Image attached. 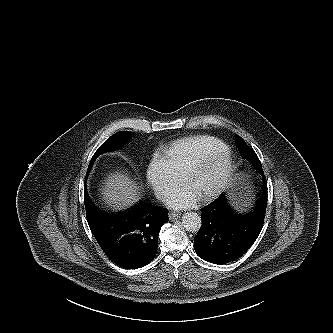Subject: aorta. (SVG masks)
<instances>
[{
    "instance_id": "762f6f07",
    "label": "aorta",
    "mask_w": 333,
    "mask_h": 333,
    "mask_svg": "<svg viewBox=\"0 0 333 333\" xmlns=\"http://www.w3.org/2000/svg\"><path fill=\"white\" fill-rule=\"evenodd\" d=\"M184 229L191 233H196L201 227V217L196 212H187L182 216Z\"/></svg>"
}]
</instances>
